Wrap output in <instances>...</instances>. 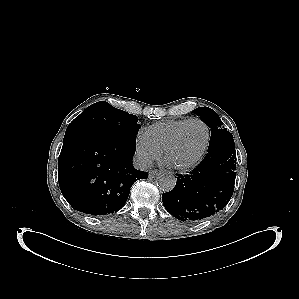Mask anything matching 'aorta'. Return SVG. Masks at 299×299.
<instances>
[{"label":"aorta","instance_id":"aorta-1","mask_svg":"<svg viewBox=\"0 0 299 299\" xmlns=\"http://www.w3.org/2000/svg\"><path fill=\"white\" fill-rule=\"evenodd\" d=\"M157 185L159 186L160 190L169 192L174 189L176 185V178L171 174H160L157 177Z\"/></svg>","mask_w":299,"mask_h":299}]
</instances>
